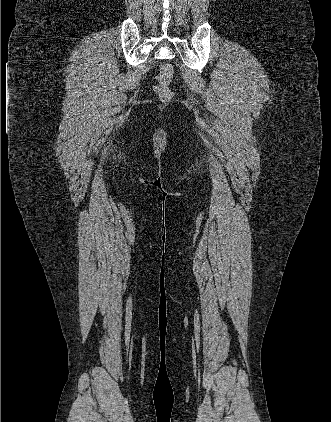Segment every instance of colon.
Listing matches in <instances>:
<instances>
[{"mask_svg": "<svg viewBox=\"0 0 331 422\" xmlns=\"http://www.w3.org/2000/svg\"><path fill=\"white\" fill-rule=\"evenodd\" d=\"M173 76V67L168 62L160 65L159 73L155 79L154 91L163 102L170 101L173 98V92L169 83Z\"/></svg>", "mask_w": 331, "mask_h": 422, "instance_id": "5ec220e1", "label": "colon"}]
</instances>
